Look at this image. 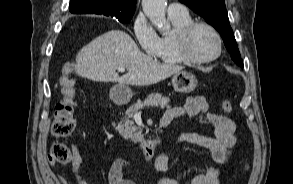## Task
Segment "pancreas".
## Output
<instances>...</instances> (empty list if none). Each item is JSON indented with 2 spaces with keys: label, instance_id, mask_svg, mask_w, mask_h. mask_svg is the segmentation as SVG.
<instances>
[{
  "label": "pancreas",
  "instance_id": "1",
  "mask_svg": "<svg viewBox=\"0 0 293 184\" xmlns=\"http://www.w3.org/2000/svg\"><path fill=\"white\" fill-rule=\"evenodd\" d=\"M169 102V98L162 96L160 93H152L148 95L143 102L137 101L126 110L125 120L123 123H119L117 125L116 130L125 139H130L134 143L142 142L143 136L139 131V127L134 125L133 120H131V118L134 116V113L148 106L160 107V109H164L169 107Z\"/></svg>",
  "mask_w": 293,
  "mask_h": 184
}]
</instances>
